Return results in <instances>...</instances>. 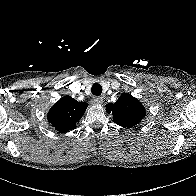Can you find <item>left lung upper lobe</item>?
<instances>
[{
  "label": "left lung upper lobe",
  "mask_w": 196,
  "mask_h": 196,
  "mask_svg": "<svg viewBox=\"0 0 196 196\" xmlns=\"http://www.w3.org/2000/svg\"><path fill=\"white\" fill-rule=\"evenodd\" d=\"M106 111L112 113L114 122L123 127L136 126L146 115L142 103L129 94H122L114 104H107Z\"/></svg>",
  "instance_id": "left-lung-upper-lobe-1"
}]
</instances>
